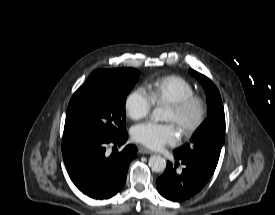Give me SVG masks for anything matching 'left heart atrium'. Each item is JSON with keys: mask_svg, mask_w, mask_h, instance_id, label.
Wrapping results in <instances>:
<instances>
[{"mask_svg": "<svg viewBox=\"0 0 275 215\" xmlns=\"http://www.w3.org/2000/svg\"><path fill=\"white\" fill-rule=\"evenodd\" d=\"M133 139L151 149L165 145H174L178 139V130L173 122L157 123L147 121L132 128Z\"/></svg>", "mask_w": 275, "mask_h": 215, "instance_id": "left-heart-atrium-1", "label": "left heart atrium"}]
</instances>
